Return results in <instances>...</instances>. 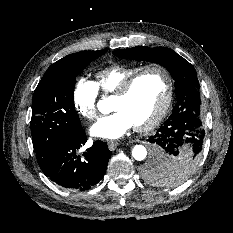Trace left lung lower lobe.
Returning a JSON list of instances; mask_svg holds the SVG:
<instances>
[{
  "mask_svg": "<svg viewBox=\"0 0 233 233\" xmlns=\"http://www.w3.org/2000/svg\"><path fill=\"white\" fill-rule=\"evenodd\" d=\"M205 131L199 119L181 116L166 121L148 141L153 147L149 164L144 170L154 171L159 166L171 159L185 156L201 157ZM158 182L172 184L173 181L159 180Z\"/></svg>",
  "mask_w": 233,
  "mask_h": 233,
  "instance_id": "1",
  "label": "left lung lower lobe"
}]
</instances>
